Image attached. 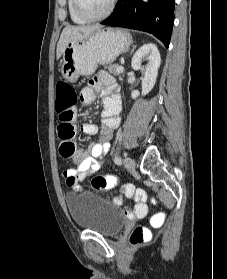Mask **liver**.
<instances>
[{
	"instance_id": "liver-1",
	"label": "liver",
	"mask_w": 227,
	"mask_h": 279,
	"mask_svg": "<svg viewBox=\"0 0 227 279\" xmlns=\"http://www.w3.org/2000/svg\"><path fill=\"white\" fill-rule=\"evenodd\" d=\"M100 25H88V26H66L59 38L56 50V58L59 59L64 52L67 44L72 41L82 40L95 31L101 29Z\"/></svg>"
}]
</instances>
